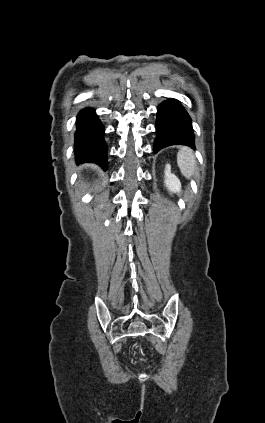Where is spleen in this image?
I'll return each instance as SVG.
<instances>
[{
  "label": "spleen",
  "mask_w": 265,
  "mask_h": 423,
  "mask_svg": "<svg viewBox=\"0 0 265 423\" xmlns=\"http://www.w3.org/2000/svg\"><path fill=\"white\" fill-rule=\"evenodd\" d=\"M177 163L181 173L190 178L196 168V160L192 150L188 147H182L177 154Z\"/></svg>",
  "instance_id": "obj_1"
}]
</instances>
